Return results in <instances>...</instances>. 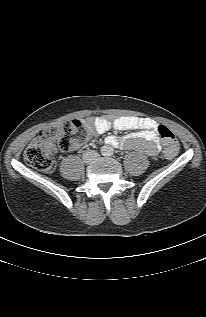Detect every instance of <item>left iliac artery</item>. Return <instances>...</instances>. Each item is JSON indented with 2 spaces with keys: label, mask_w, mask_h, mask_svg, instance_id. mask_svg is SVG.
Segmentation results:
<instances>
[{
  "label": "left iliac artery",
  "mask_w": 206,
  "mask_h": 317,
  "mask_svg": "<svg viewBox=\"0 0 206 317\" xmlns=\"http://www.w3.org/2000/svg\"><path fill=\"white\" fill-rule=\"evenodd\" d=\"M107 155H108V156L113 155V150H112V149H110V150L108 151Z\"/></svg>",
  "instance_id": "44dca946"
}]
</instances>
